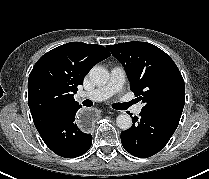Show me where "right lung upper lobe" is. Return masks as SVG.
Masks as SVG:
<instances>
[{
	"instance_id": "right-lung-upper-lobe-1",
	"label": "right lung upper lobe",
	"mask_w": 209,
	"mask_h": 179,
	"mask_svg": "<svg viewBox=\"0 0 209 179\" xmlns=\"http://www.w3.org/2000/svg\"><path fill=\"white\" fill-rule=\"evenodd\" d=\"M109 56L101 45L70 42L37 61L28 79V104L38 132L64 112L81 107L73 98L77 86L95 64Z\"/></svg>"
}]
</instances>
